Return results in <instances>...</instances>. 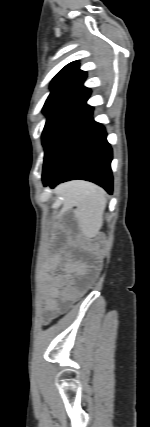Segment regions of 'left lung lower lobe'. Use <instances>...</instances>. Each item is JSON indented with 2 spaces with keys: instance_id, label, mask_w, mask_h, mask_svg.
Instances as JSON below:
<instances>
[{
  "instance_id": "0a47b994",
  "label": "left lung lower lobe",
  "mask_w": 150,
  "mask_h": 427,
  "mask_svg": "<svg viewBox=\"0 0 150 427\" xmlns=\"http://www.w3.org/2000/svg\"><path fill=\"white\" fill-rule=\"evenodd\" d=\"M89 96L87 89L47 120L42 134L43 183L53 188L64 181L84 179L112 194V149L104 127L92 118L93 108L86 105Z\"/></svg>"
}]
</instances>
